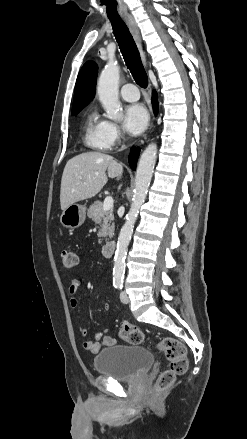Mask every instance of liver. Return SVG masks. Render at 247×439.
Masks as SVG:
<instances>
[{
  "mask_svg": "<svg viewBox=\"0 0 247 439\" xmlns=\"http://www.w3.org/2000/svg\"><path fill=\"white\" fill-rule=\"evenodd\" d=\"M106 170L108 177L117 180L123 173L122 164L107 154L87 152L71 158L61 179V209L98 194L108 181Z\"/></svg>",
  "mask_w": 247,
  "mask_h": 439,
  "instance_id": "liver-1",
  "label": "liver"
}]
</instances>
